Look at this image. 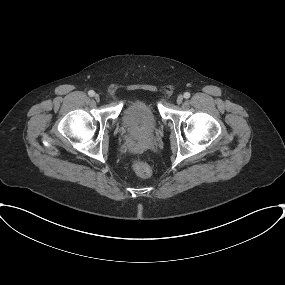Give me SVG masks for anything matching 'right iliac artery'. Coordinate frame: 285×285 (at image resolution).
I'll return each mask as SVG.
<instances>
[{
  "mask_svg": "<svg viewBox=\"0 0 285 285\" xmlns=\"http://www.w3.org/2000/svg\"><path fill=\"white\" fill-rule=\"evenodd\" d=\"M88 95H89L90 97H93V96L95 95V92H94L93 90H90V91L88 92Z\"/></svg>",
  "mask_w": 285,
  "mask_h": 285,
  "instance_id": "1",
  "label": "right iliac artery"
}]
</instances>
